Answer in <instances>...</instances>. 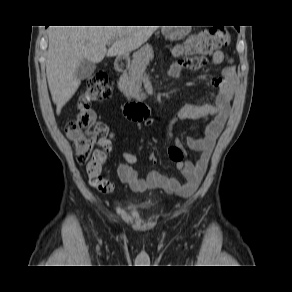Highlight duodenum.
I'll list each match as a JSON object with an SVG mask.
<instances>
[{"label":"duodenum","mask_w":292,"mask_h":292,"mask_svg":"<svg viewBox=\"0 0 292 292\" xmlns=\"http://www.w3.org/2000/svg\"><path fill=\"white\" fill-rule=\"evenodd\" d=\"M127 67L128 61L125 58L119 57L115 60L116 71L123 73L126 71ZM125 112L127 116L131 118L142 117L148 114V108L143 103L131 102L126 105Z\"/></svg>","instance_id":"1"}]
</instances>
